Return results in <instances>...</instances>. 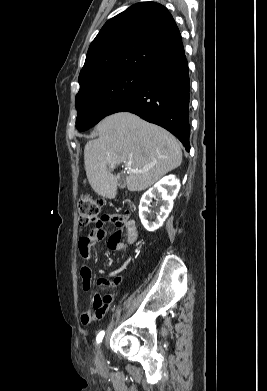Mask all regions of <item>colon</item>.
Listing matches in <instances>:
<instances>
[{"label": "colon", "mask_w": 267, "mask_h": 391, "mask_svg": "<svg viewBox=\"0 0 267 391\" xmlns=\"http://www.w3.org/2000/svg\"><path fill=\"white\" fill-rule=\"evenodd\" d=\"M100 201L93 198L90 195H83L78 201V222L81 227H86L90 224H97L100 222ZM126 219L125 216L118 215V221L123 223ZM91 247L90 238L85 235L79 239V250L86 254Z\"/></svg>", "instance_id": "colon-1"}]
</instances>
